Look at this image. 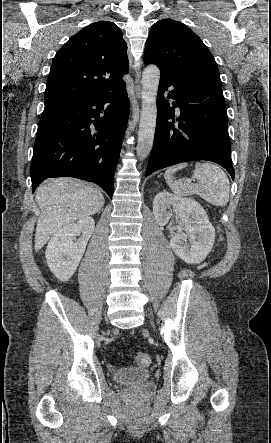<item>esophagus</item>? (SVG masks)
I'll use <instances>...</instances> for the list:
<instances>
[{"label":"esophagus","mask_w":271,"mask_h":443,"mask_svg":"<svg viewBox=\"0 0 271 443\" xmlns=\"http://www.w3.org/2000/svg\"><path fill=\"white\" fill-rule=\"evenodd\" d=\"M135 78H136V85H135V93L137 95V97H140L141 95V87H140V83L139 80L141 78V66L140 64L136 67V73H135Z\"/></svg>","instance_id":"34e87169"}]
</instances>
